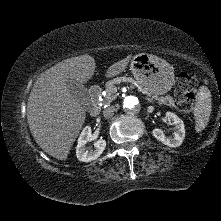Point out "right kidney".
<instances>
[{
    "label": "right kidney",
    "mask_w": 221,
    "mask_h": 221,
    "mask_svg": "<svg viewBox=\"0 0 221 221\" xmlns=\"http://www.w3.org/2000/svg\"><path fill=\"white\" fill-rule=\"evenodd\" d=\"M91 132H92L91 127L86 126L84 127L78 138V144L76 147V156L79 161L91 162L97 159L105 150L106 141L104 139H99L94 143V150H88L86 148V144L91 137Z\"/></svg>",
    "instance_id": "right-kidney-1"
}]
</instances>
